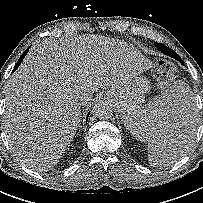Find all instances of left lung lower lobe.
I'll return each mask as SVG.
<instances>
[{
  "mask_svg": "<svg viewBox=\"0 0 203 203\" xmlns=\"http://www.w3.org/2000/svg\"><path fill=\"white\" fill-rule=\"evenodd\" d=\"M159 50H160L163 54H165V55H169V56H171V57L177 58V57L175 56V54H173V52H172L171 50H168V49L163 48V47H159Z\"/></svg>",
  "mask_w": 203,
  "mask_h": 203,
  "instance_id": "1",
  "label": "left lung lower lobe"
}]
</instances>
